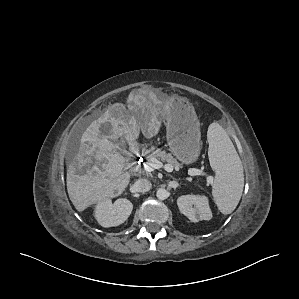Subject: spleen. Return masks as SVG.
<instances>
[{
	"instance_id": "obj_1",
	"label": "spleen",
	"mask_w": 299,
	"mask_h": 299,
	"mask_svg": "<svg viewBox=\"0 0 299 299\" xmlns=\"http://www.w3.org/2000/svg\"><path fill=\"white\" fill-rule=\"evenodd\" d=\"M208 156L215 171L212 194L223 214H230L238 205L244 187L243 166L239 155L221 125L214 122L207 131Z\"/></svg>"
}]
</instances>
